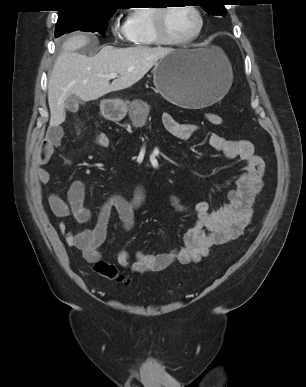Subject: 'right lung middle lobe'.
<instances>
[{"label": "right lung middle lobe", "instance_id": "dd1d6c3e", "mask_svg": "<svg viewBox=\"0 0 306 387\" xmlns=\"http://www.w3.org/2000/svg\"><path fill=\"white\" fill-rule=\"evenodd\" d=\"M115 11L116 10L69 11L59 13L55 36L57 38L66 32H73L76 30L105 34L108 26L107 21L113 16Z\"/></svg>", "mask_w": 306, "mask_h": 387}]
</instances>
